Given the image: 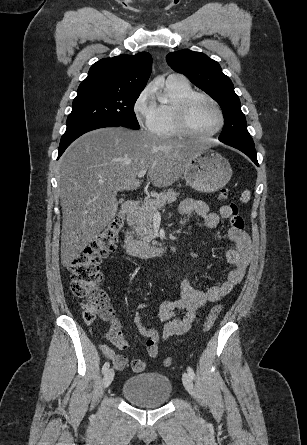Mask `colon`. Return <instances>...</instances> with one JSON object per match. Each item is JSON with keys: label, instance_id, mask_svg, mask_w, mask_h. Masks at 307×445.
Wrapping results in <instances>:
<instances>
[{"label": "colon", "instance_id": "colon-1", "mask_svg": "<svg viewBox=\"0 0 307 445\" xmlns=\"http://www.w3.org/2000/svg\"><path fill=\"white\" fill-rule=\"evenodd\" d=\"M228 197L229 190L226 188L221 189L218 198L220 200H226ZM229 208L231 211V227L243 230L244 220L239 214L238 206L235 203H231ZM122 226L123 217L118 215L98 234L94 241L68 265V271L71 276L70 289L76 297L84 299L82 307L85 321L93 322L96 318H100L110 322L111 328L108 336L110 341L116 346H122L125 340L108 297L105 292L99 288V285L103 279L101 273L102 260L115 250ZM221 310L222 307L220 304L215 305L211 309L203 325L205 332L213 327ZM163 364L165 367H170L173 364V359L166 357Z\"/></svg>", "mask_w": 307, "mask_h": 445}]
</instances>
